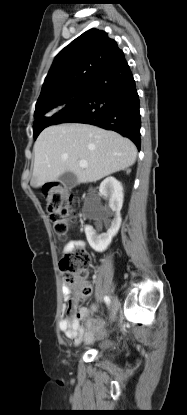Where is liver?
Masks as SVG:
<instances>
[{
    "label": "liver",
    "mask_w": 187,
    "mask_h": 415,
    "mask_svg": "<svg viewBox=\"0 0 187 415\" xmlns=\"http://www.w3.org/2000/svg\"><path fill=\"white\" fill-rule=\"evenodd\" d=\"M34 169L30 182L34 188L56 181L72 172L80 183L96 182L132 166L137 149L132 141L114 131L66 123L44 129L34 144ZM80 160L88 166L82 168Z\"/></svg>",
    "instance_id": "1"
}]
</instances>
